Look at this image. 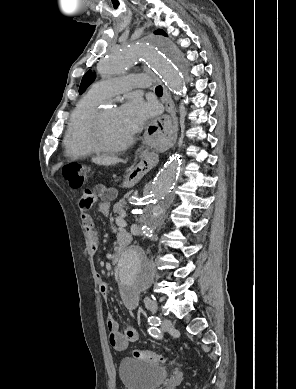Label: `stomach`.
I'll return each instance as SVG.
<instances>
[{
  "label": "stomach",
  "instance_id": "0dacf381",
  "mask_svg": "<svg viewBox=\"0 0 296 389\" xmlns=\"http://www.w3.org/2000/svg\"><path fill=\"white\" fill-rule=\"evenodd\" d=\"M149 172L150 169L128 168L125 171L124 186H138Z\"/></svg>",
  "mask_w": 296,
  "mask_h": 389
}]
</instances>
